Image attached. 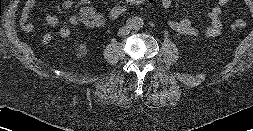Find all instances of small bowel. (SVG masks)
I'll return each mask as SVG.
<instances>
[{"mask_svg":"<svg viewBox=\"0 0 253 131\" xmlns=\"http://www.w3.org/2000/svg\"><path fill=\"white\" fill-rule=\"evenodd\" d=\"M231 0H218L217 5L213 6L207 13V19L209 25L202 32L200 29L195 27L190 19L182 18L179 20H169L168 26L183 35L196 37L203 35L206 38H215L220 35L222 31L221 15L223 7L229 4ZM163 8L167 9L171 7L173 0H160ZM36 4V0H26L22 9L20 17V26L23 31L30 35L35 34V28L30 21V14ZM74 6L73 0H64L61 3V7L65 10H70ZM107 22L105 14L98 13L92 6L85 5L79 9V12L70 17L69 23L72 26L83 25L86 28L94 29L103 27ZM45 23L50 27H56L59 24V19L55 15H47L45 17ZM59 36L63 39L71 37V30L68 27H61L58 31ZM52 36L50 33H43L40 35V41L51 40Z\"/></svg>","mask_w":253,"mask_h":131,"instance_id":"c3829d8e","label":"small bowel"}]
</instances>
